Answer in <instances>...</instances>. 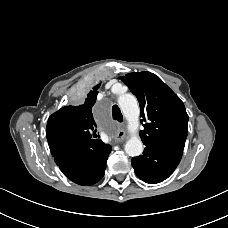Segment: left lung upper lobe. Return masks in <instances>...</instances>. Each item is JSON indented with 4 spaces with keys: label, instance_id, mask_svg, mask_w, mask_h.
<instances>
[{
    "label": "left lung upper lobe",
    "instance_id": "left-lung-upper-lobe-1",
    "mask_svg": "<svg viewBox=\"0 0 228 228\" xmlns=\"http://www.w3.org/2000/svg\"><path fill=\"white\" fill-rule=\"evenodd\" d=\"M120 79L139 101L144 127L140 131L143 143L163 144L183 150L189 117L180 98L150 72H133Z\"/></svg>",
    "mask_w": 228,
    "mask_h": 228
}]
</instances>
